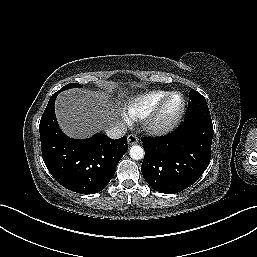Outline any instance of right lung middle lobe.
<instances>
[{
  "mask_svg": "<svg viewBox=\"0 0 257 257\" xmlns=\"http://www.w3.org/2000/svg\"><path fill=\"white\" fill-rule=\"evenodd\" d=\"M72 87H82V85L81 84H77V83H70V84H67L64 87H62L59 91L61 92V91H64L66 89H70Z\"/></svg>",
  "mask_w": 257,
  "mask_h": 257,
  "instance_id": "right-lung-middle-lobe-1",
  "label": "right lung middle lobe"
}]
</instances>
